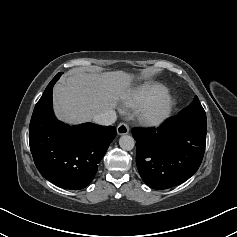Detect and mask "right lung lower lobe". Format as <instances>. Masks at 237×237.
<instances>
[{
    "label": "right lung lower lobe",
    "instance_id": "98d812e1",
    "mask_svg": "<svg viewBox=\"0 0 237 237\" xmlns=\"http://www.w3.org/2000/svg\"><path fill=\"white\" fill-rule=\"evenodd\" d=\"M60 75L48 84L34 108L29 144L44 178L65 189H82L94 178L117 132L114 126H69L58 121L52 110V90Z\"/></svg>",
    "mask_w": 237,
    "mask_h": 237
}]
</instances>
